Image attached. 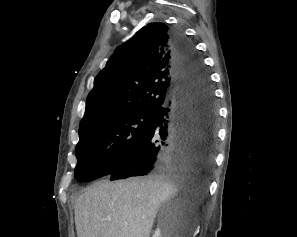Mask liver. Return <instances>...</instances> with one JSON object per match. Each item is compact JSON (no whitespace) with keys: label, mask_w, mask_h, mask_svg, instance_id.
<instances>
[{"label":"liver","mask_w":297,"mask_h":237,"mask_svg":"<svg viewBox=\"0 0 297 237\" xmlns=\"http://www.w3.org/2000/svg\"><path fill=\"white\" fill-rule=\"evenodd\" d=\"M191 184L179 174L97 182L76 200L77 236L149 237L161 204Z\"/></svg>","instance_id":"obj_1"}]
</instances>
